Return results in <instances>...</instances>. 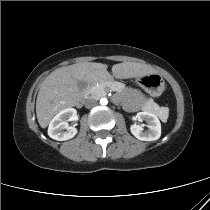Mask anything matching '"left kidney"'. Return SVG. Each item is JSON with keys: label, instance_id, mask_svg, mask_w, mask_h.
Returning <instances> with one entry per match:
<instances>
[{"label": "left kidney", "instance_id": "obj_1", "mask_svg": "<svg viewBox=\"0 0 210 210\" xmlns=\"http://www.w3.org/2000/svg\"><path fill=\"white\" fill-rule=\"evenodd\" d=\"M136 118L139 121L145 120L148 125V130L144 131V128L140 125L133 124L130 127L131 133L141 141H154L158 140L161 136V123L158 117L150 112H138Z\"/></svg>", "mask_w": 210, "mask_h": 210}]
</instances>
